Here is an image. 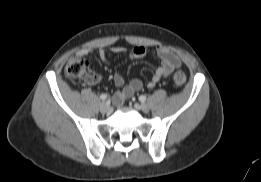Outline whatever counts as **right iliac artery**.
<instances>
[{
    "mask_svg": "<svg viewBox=\"0 0 261 182\" xmlns=\"http://www.w3.org/2000/svg\"><path fill=\"white\" fill-rule=\"evenodd\" d=\"M100 99L103 100V101H105V100L108 99V95L105 94V93H104V94H101V95H100Z\"/></svg>",
    "mask_w": 261,
    "mask_h": 182,
    "instance_id": "obj_1",
    "label": "right iliac artery"
}]
</instances>
